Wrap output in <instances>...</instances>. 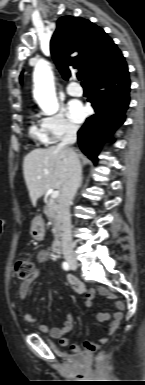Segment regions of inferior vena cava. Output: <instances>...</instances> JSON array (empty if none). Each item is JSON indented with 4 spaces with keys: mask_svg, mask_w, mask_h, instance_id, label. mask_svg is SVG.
Here are the masks:
<instances>
[{
    "mask_svg": "<svg viewBox=\"0 0 145 385\" xmlns=\"http://www.w3.org/2000/svg\"><path fill=\"white\" fill-rule=\"evenodd\" d=\"M77 126L68 124L66 127L65 135L62 138L60 147H67L76 142L77 139ZM81 181V165L78 156L72 153L69 156V172L67 179L65 180L61 195L59 197V214L61 218V240L63 255H73V243L71 236V215L70 204L75 197L77 189L80 186Z\"/></svg>",
    "mask_w": 145,
    "mask_h": 385,
    "instance_id": "obj_1",
    "label": "inferior vena cava"
}]
</instances>
